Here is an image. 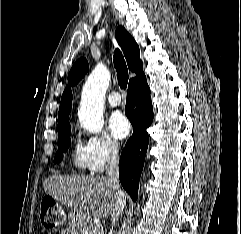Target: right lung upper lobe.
Masks as SVG:
<instances>
[{"label": "right lung upper lobe", "mask_w": 241, "mask_h": 234, "mask_svg": "<svg viewBox=\"0 0 241 234\" xmlns=\"http://www.w3.org/2000/svg\"><path fill=\"white\" fill-rule=\"evenodd\" d=\"M115 35L124 52L129 70L136 73L135 78L143 75V63L140 60V50L134 38L122 26H119L116 29ZM88 70L89 65L85 58L77 60L68 75V83L70 85L77 84L84 77ZM135 78H132L130 81ZM71 105L72 92L69 87H66L61 98L58 112V131L71 127L69 124Z\"/></svg>", "instance_id": "right-lung-upper-lobe-1"}]
</instances>
